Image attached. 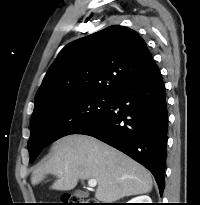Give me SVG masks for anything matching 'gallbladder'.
<instances>
[{"mask_svg":"<svg viewBox=\"0 0 200 205\" xmlns=\"http://www.w3.org/2000/svg\"><path fill=\"white\" fill-rule=\"evenodd\" d=\"M75 195L78 196V197H83L86 194L84 192L80 191V190H77V191H75Z\"/></svg>","mask_w":200,"mask_h":205,"instance_id":"1","label":"gallbladder"}]
</instances>
